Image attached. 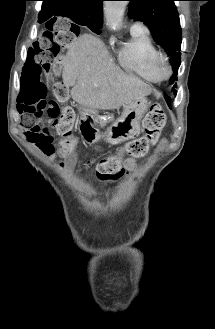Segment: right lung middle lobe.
Wrapping results in <instances>:
<instances>
[{"label":"right lung middle lobe","instance_id":"1","mask_svg":"<svg viewBox=\"0 0 215 329\" xmlns=\"http://www.w3.org/2000/svg\"><path fill=\"white\" fill-rule=\"evenodd\" d=\"M66 17H69L73 22H75L78 25H83V26H87L89 29H91L93 32H95L96 34H100L101 33V26L102 23L99 22H87L85 21L81 16L77 15V14H69ZM43 22V21H41ZM72 28L75 29L74 32L76 34L79 33V28L77 25L72 24Z\"/></svg>","mask_w":215,"mask_h":329}]
</instances>
